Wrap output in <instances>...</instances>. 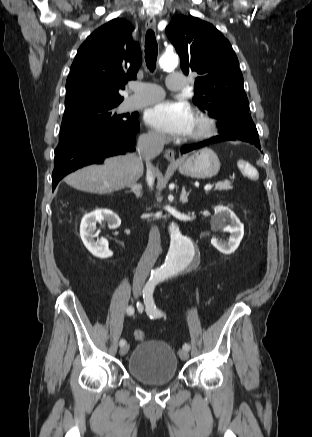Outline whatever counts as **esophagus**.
Segmentation results:
<instances>
[{
    "instance_id": "34e87169",
    "label": "esophagus",
    "mask_w": 312,
    "mask_h": 437,
    "mask_svg": "<svg viewBox=\"0 0 312 437\" xmlns=\"http://www.w3.org/2000/svg\"><path fill=\"white\" fill-rule=\"evenodd\" d=\"M145 26L147 29L155 28L156 27L155 18L154 17L148 18L146 23H145ZM164 157L171 164H174L176 162L175 152L172 149H167L164 153Z\"/></svg>"
}]
</instances>
